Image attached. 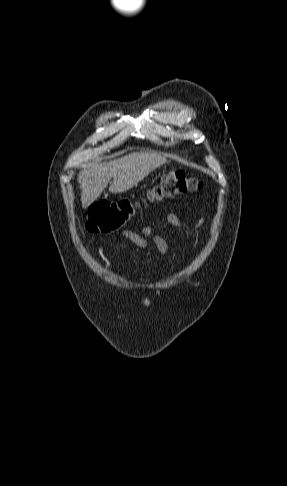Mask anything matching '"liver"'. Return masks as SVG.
I'll return each mask as SVG.
<instances>
[{
    "instance_id": "obj_1",
    "label": "liver",
    "mask_w": 287,
    "mask_h": 486,
    "mask_svg": "<svg viewBox=\"0 0 287 486\" xmlns=\"http://www.w3.org/2000/svg\"><path fill=\"white\" fill-rule=\"evenodd\" d=\"M166 161V158L159 154L132 153L108 163H87L77 179L82 190V207L87 208L96 201L112 178L109 191L125 192Z\"/></svg>"
}]
</instances>
